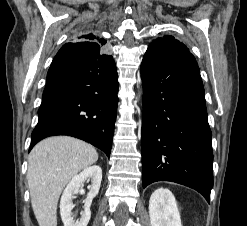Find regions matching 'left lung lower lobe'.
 I'll return each mask as SVG.
<instances>
[{
    "label": "left lung lower lobe",
    "mask_w": 247,
    "mask_h": 226,
    "mask_svg": "<svg viewBox=\"0 0 247 226\" xmlns=\"http://www.w3.org/2000/svg\"><path fill=\"white\" fill-rule=\"evenodd\" d=\"M143 187L176 182L210 202L213 152L199 67L189 51L148 48L141 64Z\"/></svg>",
    "instance_id": "left-lung-lower-lobe-1"
}]
</instances>
